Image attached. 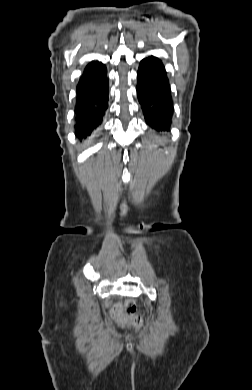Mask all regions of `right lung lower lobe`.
Here are the masks:
<instances>
[{
  "instance_id": "1",
  "label": "right lung lower lobe",
  "mask_w": 252,
  "mask_h": 390,
  "mask_svg": "<svg viewBox=\"0 0 252 390\" xmlns=\"http://www.w3.org/2000/svg\"><path fill=\"white\" fill-rule=\"evenodd\" d=\"M108 108V78L106 67L83 73L77 84L75 105V134L79 139L87 138L103 120Z\"/></svg>"
}]
</instances>
